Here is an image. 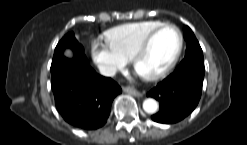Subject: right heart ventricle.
I'll list each match as a JSON object with an SVG mask.
<instances>
[{
    "label": "right heart ventricle",
    "mask_w": 247,
    "mask_h": 145,
    "mask_svg": "<svg viewBox=\"0 0 247 145\" xmlns=\"http://www.w3.org/2000/svg\"><path fill=\"white\" fill-rule=\"evenodd\" d=\"M162 24L163 22L154 20L126 23L109 29L106 38L121 55L128 59L146 35Z\"/></svg>",
    "instance_id": "obj_1"
}]
</instances>
